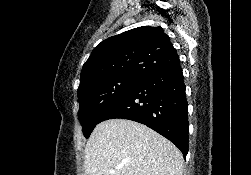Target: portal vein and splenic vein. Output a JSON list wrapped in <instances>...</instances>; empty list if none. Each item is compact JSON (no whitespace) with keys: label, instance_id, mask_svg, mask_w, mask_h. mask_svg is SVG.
Segmentation results:
<instances>
[{"label":"portal vein and splenic vein","instance_id":"18ae733b","mask_svg":"<svg viewBox=\"0 0 251 175\" xmlns=\"http://www.w3.org/2000/svg\"><path fill=\"white\" fill-rule=\"evenodd\" d=\"M116 169H110L109 173H115Z\"/></svg>","mask_w":251,"mask_h":175}]
</instances>
